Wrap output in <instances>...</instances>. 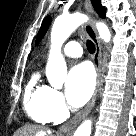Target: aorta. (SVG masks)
Listing matches in <instances>:
<instances>
[{"label": "aorta", "instance_id": "762f6f07", "mask_svg": "<svg viewBox=\"0 0 136 136\" xmlns=\"http://www.w3.org/2000/svg\"><path fill=\"white\" fill-rule=\"evenodd\" d=\"M88 17L82 13H73L66 16H59L55 19L51 31V47L46 66L47 79L52 87L61 89L67 77V66L61 53V47L67 38L83 23ZM99 36L104 42L111 40V33L106 24H96ZM92 121L85 120L75 131L74 136H90Z\"/></svg>", "mask_w": 136, "mask_h": 136}]
</instances>
